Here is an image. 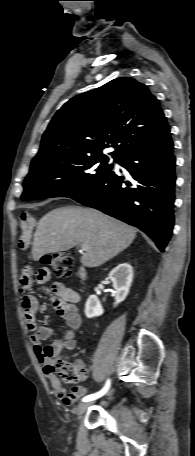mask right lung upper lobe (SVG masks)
Instances as JSON below:
<instances>
[{
	"label": "right lung upper lobe",
	"instance_id": "1",
	"mask_svg": "<svg viewBox=\"0 0 195 456\" xmlns=\"http://www.w3.org/2000/svg\"><path fill=\"white\" fill-rule=\"evenodd\" d=\"M171 139L166 117L148 88L122 77L75 96L54 115L31 167L65 157L101 155L109 143L116 160ZM107 157V156H106Z\"/></svg>",
	"mask_w": 195,
	"mask_h": 456
}]
</instances>
